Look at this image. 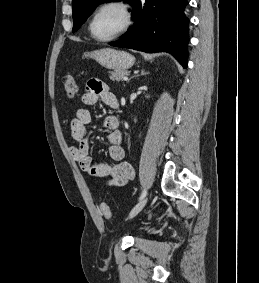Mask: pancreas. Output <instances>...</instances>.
<instances>
[{
  "label": "pancreas",
  "instance_id": "1",
  "mask_svg": "<svg viewBox=\"0 0 259 283\" xmlns=\"http://www.w3.org/2000/svg\"><path fill=\"white\" fill-rule=\"evenodd\" d=\"M128 71L126 70H117L110 73V79L113 81H120L127 75Z\"/></svg>",
  "mask_w": 259,
  "mask_h": 283
}]
</instances>
